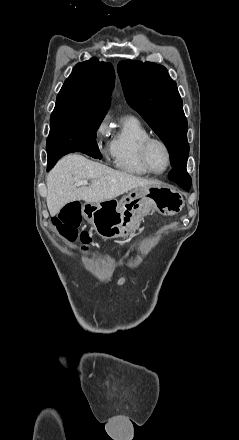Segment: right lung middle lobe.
Listing matches in <instances>:
<instances>
[{"mask_svg": "<svg viewBox=\"0 0 239 440\" xmlns=\"http://www.w3.org/2000/svg\"><path fill=\"white\" fill-rule=\"evenodd\" d=\"M104 116L55 108L50 117V133L47 139L48 155L96 144V131Z\"/></svg>", "mask_w": 239, "mask_h": 440, "instance_id": "dd1d6c3e", "label": "right lung middle lobe"}]
</instances>
